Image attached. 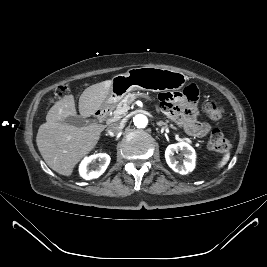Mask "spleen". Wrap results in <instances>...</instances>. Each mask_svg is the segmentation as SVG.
Here are the masks:
<instances>
[{
    "instance_id": "spleen-1",
    "label": "spleen",
    "mask_w": 267,
    "mask_h": 267,
    "mask_svg": "<svg viewBox=\"0 0 267 267\" xmlns=\"http://www.w3.org/2000/svg\"><path fill=\"white\" fill-rule=\"evenodd\" d=\"M230 158V153H226L223 158L221 159V161L218 163L217 167L218 169L222 168L224 165H226V163L229 161Z\"/></svg>"
}]
</instances>
